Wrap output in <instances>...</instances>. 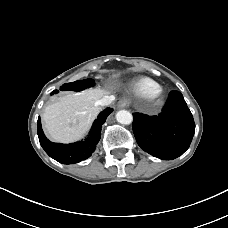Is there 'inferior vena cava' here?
I'll list each match as a JSON object with an SVG mask.
<instances>
[{
	"label": "inferior vena cava",
	"mask_w": 228,
	"mask_h": 228,
	"mask_svg": "<svg viewBox=\"0 0 228 228\" xmlns=\"http://www.w3.org/2000/svg\"><path fill=\"white\" fill-rule=\"evenodd\" d=\"M115 100L114 96H104L100 100L97 101V105L100 106H109Z\"/></svg>",
	"instance_id": "inferior-vena-cava-1"
}]
</instances>
